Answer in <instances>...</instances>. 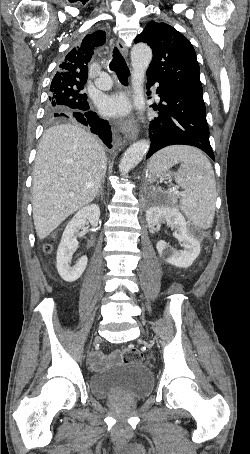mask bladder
<instances>
[{"mask_svg":"<svg viewBox=\"0 0 250 454\" xmlns=\"http://www.w3.org/2000/svg\"><path fill=\"white\" fill-rule=\"evenodd\" d=\"M88 386L92 395L103 401H139L151 394L153 376L146 366L125 361L91 374Z\"/></svg>","mask_w":250,"mask_h":454,"instance_id":"31cf9c89","label":"bladder"}]
</instances>
